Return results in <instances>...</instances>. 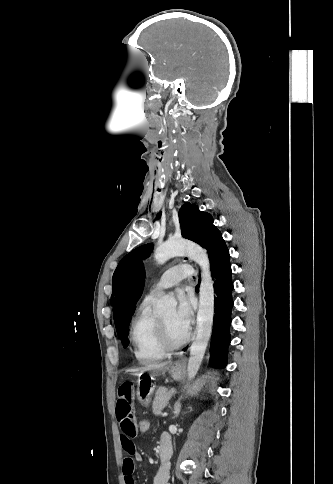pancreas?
Returning <instances> with one entry per match:
<instances>
[{"label":"pancreas","instance_id":"1","mask_svg":"<svg viewBox=\"0 0 333 484\" xmlns=\"http://www.w3.org/2000/svg\"><path fill=\"white\" fill-rule=\"evenodd\" d=\"M173 391L167 390L165 387H160L156 393L152 404L153 414L158 416L161 415V411L166 407Z\"/></svg>","mask_w":333,"mask_h":484}]
</instances>
